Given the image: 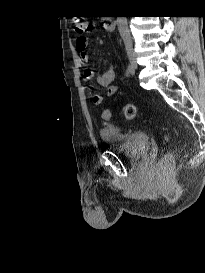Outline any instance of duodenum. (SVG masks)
I'll use <instances>...</instances> for the list:
<instances>
[{"label": "duodenum", "instance_id": "obj_1", "mask_svg": "<svg viewBox=\"0 0 205 273\" xmlns=\"http://www.w3.org/2000/svg\"><path fill=\"white\" fill-rule=\"evenodd\" d=\"M104 29L105 31H108V32L114 29L113 19H107V21L104 23Z\"/></svg>", "mask_w": 205, "mask_h": 273}]
</instances>
